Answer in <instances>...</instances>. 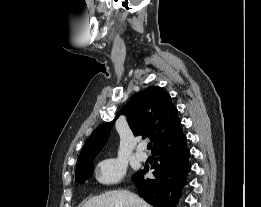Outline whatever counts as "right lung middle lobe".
Here are the masks:
<instances>
[{
    "label": "right lung middle lobe",
    "instance_id": "1",
    "mask_svg": "<svg viewBox=\"0 0 261 207\" xmlns=\"http://www.w3.org/2000/svg\"><path fill=\"white\" fill-rule=\"evenodd\" d=\"M94 158H89L76 166L75 178L77 182L83 183L92 176L94 170L92 161Z\"/></svg>",
    "mask_w": 261,
    "mask_h": 207
}]
</instances>
